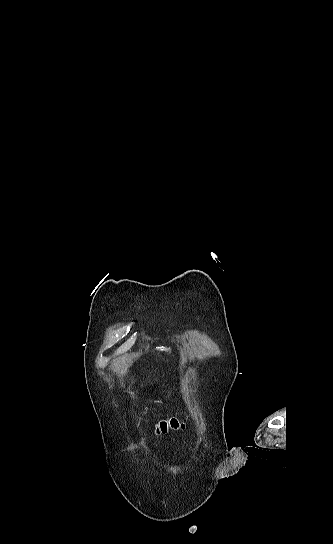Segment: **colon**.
Segmentation results:
<instances>
[{"label":"colon","mask_w":333,"mask_h":544,"mask_svg":"<svg viewBox=\"0 0 333 544\" xmlns=\"http://www.w3.org/2000/svg\"><path fill=\"white\" fill-rule=\"evenodd\" d=\"M184 428V424L178 419L172 418L169 420H162L156 425V432L164 434L170 430H179Z\"/></svg>","instance_id":"1"}]
</instances>
